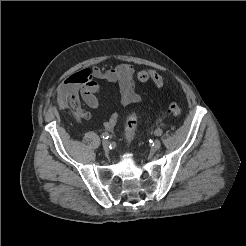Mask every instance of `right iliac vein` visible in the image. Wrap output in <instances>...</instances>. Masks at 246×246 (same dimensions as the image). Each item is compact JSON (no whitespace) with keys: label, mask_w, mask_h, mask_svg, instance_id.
Instances as JSON below:
<instances>
[{"label":"right iliac vein","mask_w":246,"mask_h":246,"mask_svg":"<svg viewBox=\"0 0 246 246\" xmlns=\"http://www.w3.org/2000/svg\"><path fill=\"white\" fill-rule=\"evenodd\" d=\"M102 146L105 150H107L109 148V141L107 140H103L102 141Z\"/></svg>","instance_id":"63e3f726"}]
</instances>
